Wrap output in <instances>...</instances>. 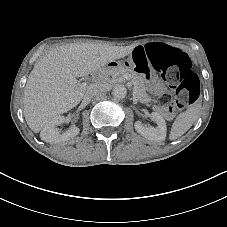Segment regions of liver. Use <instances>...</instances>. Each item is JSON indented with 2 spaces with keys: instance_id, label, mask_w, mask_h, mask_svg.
Masks as SVG:
<instances>
[{
  "instance_id": "liver-1",
  "label": "liver",
  "mask_w": 227,
  "mask_h": 227,
  "mask_svg": "<svg viewBox=\"0 0 227 227\" xmlns=\"http://www.w3.org/2000/svg\"><path fill=\"white\" fill-rule=\"evenodd\" d=\"M133 49L132 45L71 43L49 50L34 64L24 88V117L29 128L39 133L50 119L91 96L87 84L77 78L103 69Z\"/></svg>"
}]
</instances>
